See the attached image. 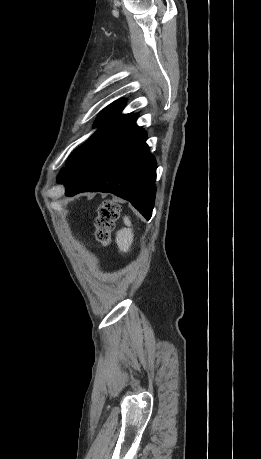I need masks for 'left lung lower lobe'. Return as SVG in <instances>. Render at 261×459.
<instances>
[{
  "label": "left lung lower lobe",
  "mask_w": 261,
  "mask_h": 459,
  "mask_svg": "<svg viewBox=\"0 0 261 459\" xmlns=\"http://www.w3.org/2000/svg\"><path fill=\"white\" fill-rule=\"evenodd\" d=\"M133 115L103 146L63 182L66 196L109 192L131 204L147 219L155 201L156 161L147 135Z\"/></svg>",
  "instance_id": "left-lung-lower-lobe-1"
}]
</instances>
